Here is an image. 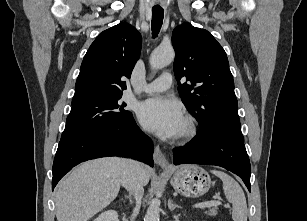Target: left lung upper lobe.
I'll return each instance as SVG.
<instances>
[{
    "label": "left lung upper lobe",
    "instance_id": "5c2ea615",
    "mask_svg": "<svg viewBox=\"0 0 307 221\" xmlns=\"http://www.w3.org/2000/svg\"><path fill=\"white\" fill-rule=\"evenodd\" d=\"M174 74L201 134L221 133L244 142L234 81L224 49L204 29L184 23L173 30ZM182 77L188 83L180 84Z\"/></svg>",
    "mask_w": 307,
    "mask_h": 221
}]
</instances>
